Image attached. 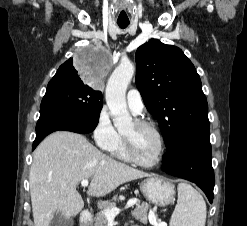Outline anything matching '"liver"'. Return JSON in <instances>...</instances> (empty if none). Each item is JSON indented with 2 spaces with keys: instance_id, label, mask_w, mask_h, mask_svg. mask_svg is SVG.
Segmentation results:
<instances>
[{
  "instance_id": "6515ba94",
  "label": "liver",
  "mask_w": 247,
  "mask_h": 226,
  "mask_svg": "<svg viewBox=\"0 0 247 226\" xmlns=\"http://www.w3.org/2000/svg\"><path fill=\"white\" fill-rule=\"evenodd\" d=\"M148 176L107 157L80 134L55 132L33 154L29 183L34 226H49L56 213L76 216L84 207L76 187L84 179L91 178L89 196L105 197L123 183Z\"/></svg>"
}]
</instances>
